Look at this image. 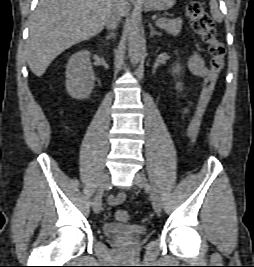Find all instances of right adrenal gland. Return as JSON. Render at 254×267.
<instances>
[{"mask_svg": "<svg viewBox=\"0 0 254 267\" xmlns=\"http://www.w3.org/2000/svg\"><path fill=\"white\" fill-rule=\"evenodd\" d=\"M115 34L113 32L111 33H108L107 36H106V39L109 40L111 38H114Z\"/></svg>", "mask_w": 254, "mask_h": 267, "instance_id": "obj_1", "label": "right adrenal gland"}]
</instances>
